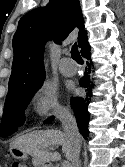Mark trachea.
<instances>
[{
  "label": "trachea",
  "instance_id": "1",
  "mask_svg": "<svg viewBox=\"0 0 125 167\" xmlns=\"http://www.w3.org/2000/svg\"><path fill=\"white\" fill-rule=\"evenodd\" d=\"M71 56H72V59H74L77 63L79 64L83 63L82 57L78 51V46L76 43L72 46Z\"/></svg>",
  "mask_w": 125,
  "mask_h": 167
}]
</instances>
